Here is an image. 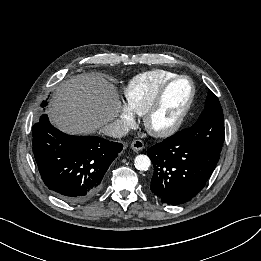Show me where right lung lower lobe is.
Wrapping results in <instances>:
<instances>
[{"mask_svg":"<svg viewBox=\"0 0 261 261\" xmlns=\"http://www.w3.org/2000/svg\"><path fill=\"white\" fill-rule=\"evenodd\" d=\"M34 157L45 185L73 203L88 200L123 145L96 136H70L54 128L46 114L32 128Z\"/></svg>","mask_w":261,"mask_h":261,"instance_id":"1","label":"right lung lower lobe"}]
</instances>
